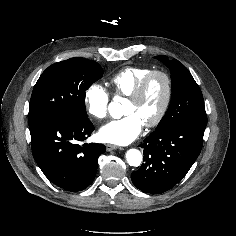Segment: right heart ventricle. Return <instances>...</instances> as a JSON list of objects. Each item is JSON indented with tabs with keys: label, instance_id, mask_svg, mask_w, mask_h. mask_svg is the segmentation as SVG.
<instances>
[{
	"label": "right heart ventricle",
	"instance_id": "obj_1",
	"mask_svg": "<svg viewBox=\"0 0 236 236\" xmlns=\"http://www.w3.org/2000/svg\"><path fill=\"white\" fill-rule=\"evenodd\" d=\"M150 71L149 67H125L114 74L109 83L116 96L128 97Z\"/></svg>",
	"mask_w": 236,
	"mask_h": 236
}]
</instances>
